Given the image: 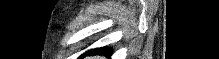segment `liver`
I'll return each instance as SVG.
<instances>
[{
    "label": "liver",
    "instance_id": "liver-1",
    "mask_svg": "<svg viewBox=\"0 0 219 59\" xmlns=\"http://www.w3.org/2000/svg\"><path fill=\"white\" fill-rule=\"evenodd\" d=\"M91 59H104L102 56H94Z\"/></svg>",
    "mask_w": 219,
    "mask_h": 59
}]
</instances>
